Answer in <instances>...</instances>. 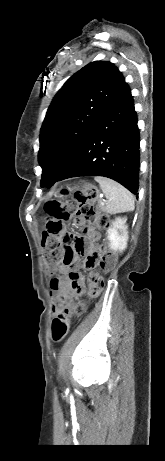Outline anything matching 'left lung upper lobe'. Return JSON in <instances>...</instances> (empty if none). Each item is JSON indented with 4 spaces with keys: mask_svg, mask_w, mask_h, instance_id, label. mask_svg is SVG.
I'll list each match as a JSON object with an SVG mask.
<instances>
[{
    "mask_svg": "<svg viewBox=\"0 0 165 461\" xmlns=\"http://www.w3.org/2000/svg\"><path fill=\"white\" fill-rule=\"evenodd\" d=\"M124 83L113 63L100 61L86 65L66 81L41 127V186L55 183Z\"/></svg>",
    "mask_w": 165,
    "mask_h": 461,
    "instance_id": "1",
    "label": "left lung upper lobe"
}]
</instances>
